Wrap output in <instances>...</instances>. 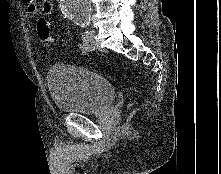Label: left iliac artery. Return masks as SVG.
<instances>
[{"mask_svg": "<svg viewBox=\"0 0 221 174\" xmlns=\"http://www.w3.org/2000/svg\"><path fill=\"white\" fill-rule=\"evenodd\" d=\"M78 25H80L81 27H87L89 26V20L80 21L78 22Z\"/></svg>", "mask_w": 221, "mask_h": 174, "instance_id": "1", "label": "left iliac artery"}]
</instances>
